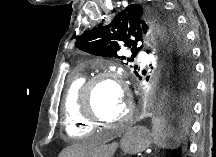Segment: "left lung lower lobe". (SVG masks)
<instances>
[{
	"label": "left lung lower lobe",
	"instance_id": "obj_1",
	"mask_svg": "<svg viewBox=\"0 0 216 157\" xmlns=\"http://www.w3.org/2000/svg\"><path fill=\"white\" fill-rule=\"evenodd\" d=\"M167 77L164 72L165 92L170 102V109L166 111V117L174 124L172 126L174 131L179 135H183L188 130V118L191 113L196 82L194 81L192 84L184 87H178L172 76Z\"/></svg>",
	"mask_w": 216,
	"mask_h": 157
}]
</instances>
